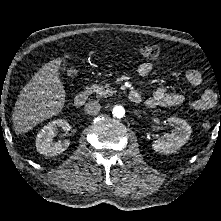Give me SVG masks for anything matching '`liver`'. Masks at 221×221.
Masks as SVG:
<instances>
[{
    "label": "liver",
    "instance_id": "liver-1",
    "mask_svg": "<svg viewBox=\"0 0 221 221\" xmlns=\"http://www.w3.org/2000/svg\"><path fill=\"white\" fill-rule=\"evenodd\" d=\"M60 62L58 58L44 64L23 87L12 114L16 134L25 133L61 112L66 92L58 77Z\"/></svg>",
    "mask_w": 221,
    "mask_h": 221
}]
</instances>
